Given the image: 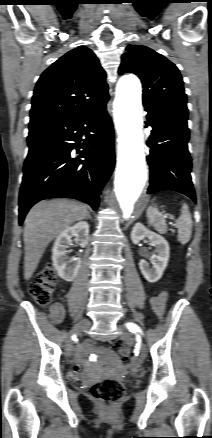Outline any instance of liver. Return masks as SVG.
<instances>
[{"label": "liver", "mask_w": 212, "mask_h": 438, "mask_svg": "<svg viewBox=\"0 0 212 438\" xmlns=\"http://www.w3.org/2000/svg\"><path fill=\"white\" fill-rule=\"evenodd\" d=\"M84 204L73 200H46L31 208L24 228V279L35 272L47 245L76 221L86 219Z\"/></svg>", "instance_id": "1"}]
</instances>
